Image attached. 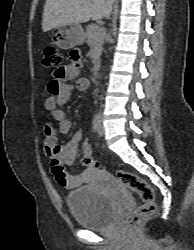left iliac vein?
<instances>
[{
  "mask_svg": "<svg viewBox=\"0 0 194 250\" xmlns=\"http://www.w3.org/2000/svg\"><path fill=\"white\" fill-rule=\"evenodd\" d=\"M102 121H103V119H102V117L100 116V125H99V128H98V134H99V135H103V133H104V128H103Z\"/></svg>",
  "mask_w": 194,
  "mask_h": 250,
  "instance_id": "1",
  "label": "left iliac vein"
}]
</instances>
